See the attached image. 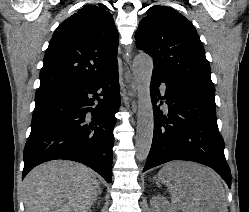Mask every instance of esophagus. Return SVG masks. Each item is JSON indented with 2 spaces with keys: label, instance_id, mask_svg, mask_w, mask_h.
I'll list each match as a JSON object with an SVG mask.
<instances>
[{
  "label": "esophagus",
  "instance_id": "obj_1",
  "mask_svg": "<svg viewBox=\"0 0 249 212\" xmlns=\"http://www.w3.org/2000/svg\"><path fill=\"white\" fill-rule=\"evenodd\" d=\"M131 51H132V47L131 46H129L128 47V49H127V52L129 53L128 55H126L125 57H124V60H125V62H128L129 60H130V57H131Z\"/></svg>",
  "mask_w": 249,
  "mask_h": 212
}]
</instances>
